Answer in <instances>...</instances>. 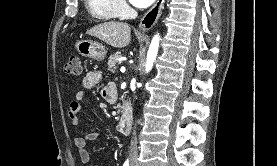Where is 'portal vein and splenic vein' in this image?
<instances>
[{
	"label": "portal vein and splenic vein",
	"mask_w": 277,
	"mask_h": 166,
	"mask_svg": "<svg viewBox=\"0 0 277 166\" xmlns=\"http://www.w3.org/2000/svg\"><path fill=\"white\" fill-rule=\"evenodd\" d=\"M120 70H121V72H124V71H125V68H124V67H121Z\"/></svg>",
	"instance_id": "obj_1"
}]
</instances>
